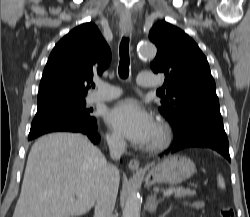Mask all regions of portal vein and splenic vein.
<instances>
[{
  "label": "portal vein and splenic vein",
  "instance_id": "obj_1",
  "mask_svg": "<svg viewBox=\"0 0 250 217\" xmlns=\"http://www.w3.org/2000/svg\"><path fill=\"white\" fill-rule=\"evenodd\" d=\"M173 192L171 191V190H166V191H164V193H163V195L164 196H169V195H171Z\"/></svg>",
  "mask_w": 250,
  "mask_h": 217
}]
</instances>
